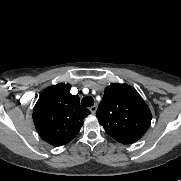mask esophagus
Returning a JSON list of instances; mask_svg holds the SVG:
<instances>
[{"mask_svg": "<svg viewBox=\"0 0 181 181\" xmlns=\"http://www.w3.org/2000/svg\"><path fill=\"white\" fill-rule=\"evenodd\" d=\"M96 110H97V106L96 105H93V106L90 107V111H91L92 114H95Z\"/></svg>", "mask_w": 181, "mask_h": 181, "instance_id": "esophagus-1", "label": "esophagus"}]
</instances>
